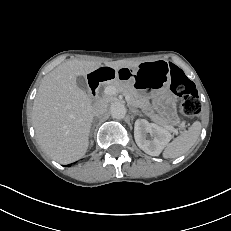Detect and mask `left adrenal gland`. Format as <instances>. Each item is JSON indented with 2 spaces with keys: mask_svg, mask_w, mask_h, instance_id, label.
<instances>
[{
  "mask_svg": "<svg viewBox=\"0 0 231 231\" xmlns=\"http://www.w3.org/2000/svg\"><path fill=\"white\" fill-rule=\"evenodd\" d=\"M131 111L133 112L134 115H140L142 116V114H140L137 110L131 108Z\"/></svg>",
  "mask_w": 231,
  "mask_h": 231,
  "instance_id": "1",
  "label": "left adrenal gland"
}]
</instances>
